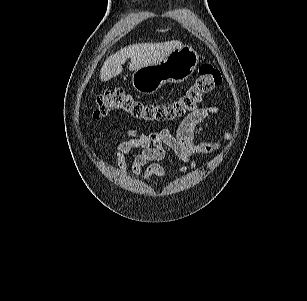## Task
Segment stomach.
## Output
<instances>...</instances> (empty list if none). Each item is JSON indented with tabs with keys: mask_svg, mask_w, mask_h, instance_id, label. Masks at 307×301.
<instances>
[{
	"mask_svg": "<svg viewBox=\"0 0 307 301\" xmlns=\"http://www.w3.org/2000/svg\"><path fill=\"white\" fill-rule=\"evenodd\" d=\"M199 55L189 46L174 49L156 64L135 70L132 84L143 94H153L166 83H181L187 80L197 68Z\"/></svg>",
	"mask_w": 307,
	"mask_h": 301,
	"instance_id": "obj_1",
	"label": "stomach"
}]
</instances>
